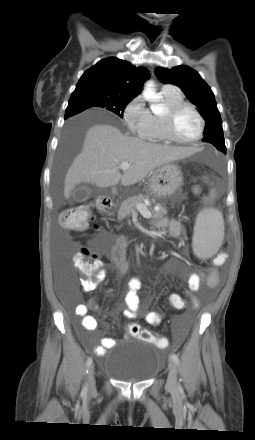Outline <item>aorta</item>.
<instances>
[{
    "instance_id": "1",
    "label": "aorta",
    "mask_w": 255,
    "mask_h": 440,
    "mask_svg": "<svg viewBox=\"0 0 255 440\" xmlns=\"http://www.w3.org/2000/svg\"><path fill=\"white\" fill-rule=\"evenodd\" d=\"M143 96L146 100L151 101V102H155L158 97L155 93V89H154V83L152 81H148L143 89ZM153 113L158 114L160 113V106L159 105H152L151 107Z\"/></svg>"
}]
</instances>
